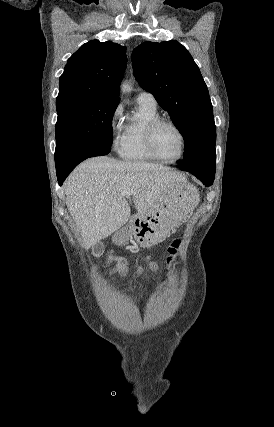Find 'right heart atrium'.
Returning <instances> with one entry per match:
<instances>
[{
	"label": "right heart atrium",
	"mask_w": 274,
	"mask_h": 427,
	"mask_svg": "<svg viewBox=\"0 0 274 427\" xmlns=\"http://www.w3.org/2000/svg\"><path fill=\"white\" fill-rule=\"evenodd\" d=\"M108 128L111 142L114 146H116L119 144L124 131V126L120 121V111L118 109L111 113Z\"/></svg>",
	"instance_id": "right-heart-atrium-1"
}]
</instances>
